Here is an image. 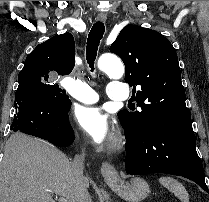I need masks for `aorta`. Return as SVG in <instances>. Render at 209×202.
Listing matches in <instances>:
<instances>
[{
	"label": "aorta",
	"instance_id": "1",
	"mask_svg": "<svg viewBox=\"0 0 209 202\" xmlns=\"http://www.w3.org/2000/svg\"><path fill=\"white\" fill-rule=\"evenodd\" d=\"M98 68L113 79H120L124 75V66L114 55H102L98 60Z\"/></svg>",
	"mask_w": 209,
	"mask_h": 202
}]
</instances>
